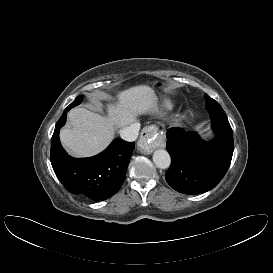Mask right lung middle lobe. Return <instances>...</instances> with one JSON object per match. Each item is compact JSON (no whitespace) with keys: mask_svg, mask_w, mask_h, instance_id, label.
Instances as JSON below:
<instances>
[{"mask_svg":"<svg viewBox=\"0 0 273 273\" xmlns=\"http://www.w3.org/2000/svg\"><path fill=\"white\" fill-rule=\"evenodd\" d=\"M82 99H83V95L78 96L67 108L71 109V108L79 105L81 103Z\"/></svg>","mask_w":273,"mask_h":273,"instance_id":"right-lung-middle-lobe-1","label":"right lung middle lobe"}]
</instances>
